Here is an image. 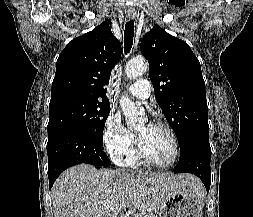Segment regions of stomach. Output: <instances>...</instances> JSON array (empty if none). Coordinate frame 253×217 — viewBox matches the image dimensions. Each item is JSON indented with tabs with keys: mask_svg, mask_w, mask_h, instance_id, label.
I'll return each mask as SVG.
<instances>
[{
	"mask_svg": "<svg viewBox=\"0 0 253 217\" xmlns=\"http://www.w3.org/2000/svg\"><path fill=\"white\" fill-rule=\"evenodd\" d=\"M203 202L188 192L173 194L154 217H202Z\"/></svg>",
	"mask_w": 253,
	"mask_h": 217,
	"instance_id": "obj_1",
	"label": "stomach"
}]
</instances>
